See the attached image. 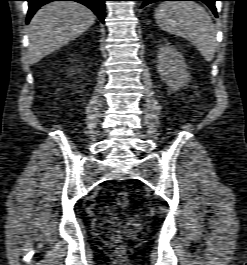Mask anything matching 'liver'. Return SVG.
I'll return each instance as SVG.
<instances>
[{
    "mask_svg": "<svg viewBox=\"0 0 247 265\" xmlns=\"http://www.w3.org/2000/svg\"><path fill=\"white\" fill-rule=\"evenodd\" d=\"M94 13L77 2H51L30 21L28 57L31 64L82 35L95 22Z\"/></svg>",
    "mask_w": 247,
    "mask_h": 265,
    "instance_id": "liver-1",
    "label": "liver"
}]
</instances>
